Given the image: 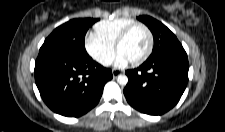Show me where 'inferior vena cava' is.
<instances>
[{
    "label": "inferior vena cava",
    "mask_w": 225,
    "mask_h": 132,
    "mask_svg": "<svg viewBox=\"0 0 225 132\" xmlns=\"http://www.w3.org/2000/svg\"><path fill=\"white\" fill-rule=\"evenodd\" d=\"M112 63V59H106L104 61H102V64L105 65V66H108Z\"/></svg>",
    "instance_id": "obj_1"
}]
</instances>
